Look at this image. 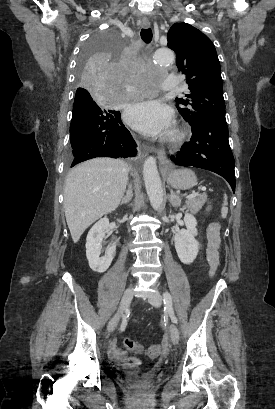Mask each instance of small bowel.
Returning <instances> with one entry per match:
<instances>
[{
	"label": "small bowel",
	"mask_w": 275,
	"mask_h": 409,
	"mask_svg": "<svg viewBox=\"0 0 275 409\" xmlns=\"http://www.w3.org/2000/svg\"><path fill=\"white\" fill-rule=\"evenodd\" d=\"M219 231H220V226L218 223L211 224L208 230L209 244H208V249H207V260L210 264V272L212 268L216 270L218 262H219V253H218V249L220 245ZM134 321L137 322L138 319H134ZM109 355L113 360L117 362L125 363L129 366H137L141 364V361L138 358L129 357L125 350L117 346L115 341L110 344Z\"/></svg>",
	"instance_id": "small-bowel-1"
}]
</instances>
